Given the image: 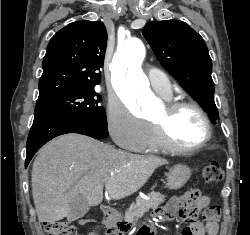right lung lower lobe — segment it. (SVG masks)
<instances>
[{
    "label": "right lung lower lobe",
    "mask_w": 250,
    "mask_h": 235,
    "mask_svg": "<svg viewBox=\"0 0 250 235\" xmlns=\"http://www.w3.org/2000/svg\"><path fill=\"white\" fill-rule=\"evenodd\" d=\"M67 133H79L95 139L108 136L107 125L96 123L84 118L42 113L35 115L33 125L27 139L25 167L34 154L49 140Z\"/></svg>",
    "instance_id": "98d812e1"
}]
</instances>
